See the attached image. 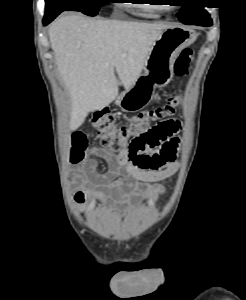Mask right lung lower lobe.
<instances>
[{
  "label": "right lung lower lobe",
  "instance_id": "right-lung-lower-lobe-1",
  "mask_svg": "<svg viewBox=\"0 0 246 300\" xmlns=\"http://www.w3.org/2000/svg\"><path fill=\"white\" fill-rule=\"evenodd\" d=\"M61 12H59V13H56V14H54V15H51V16H48V17H44V19H43V24L44 25H47V24H49L51 21H53L54 20V18L57 16V15H59Z\"/></svg>",
  "mask_w": 246,
  "mask_h": 300
}]
</instances>
